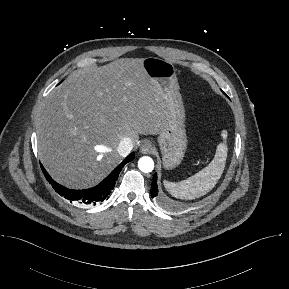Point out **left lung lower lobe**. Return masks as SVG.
Instances as JSON below:
<instances>
[{
	"instance_id": "0a47b994",
	"label": "left lung lower lobe",
	"mask_w": 289,
	"mask_h": 289,
	"mask_svg": "<svg viewBox=\"0 0 289 289\" xmlns=\"http://www.w3.org/2000/svg\"><path fill=\"white\" fill-rule=\"evenodd\" d=\"M158 195V186H157V173L153 175L152 185H151V196L152 198Z\"/></svg>"
}]
</instances>
